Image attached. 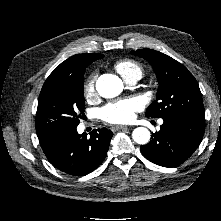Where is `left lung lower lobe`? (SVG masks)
I'll return each mask as SVG.
<instances>
[{"label": "left lung lower lobe", "instance_id": "0a47b994", "mask_svg": "<svg viewBox=\"0 0 221 221\" xmlns=\"http://www.w3.org/2000/svg\"><path fill=\"white\" fill-rule=\"evenodd\" d=\"M205 130L204 117L179 115L164 118L159 132L140 147L151 162L163 167H175L186 161L199 146Z\"/></svg>", "mask_w": 221, "mask_h": 221}]
</instances>
